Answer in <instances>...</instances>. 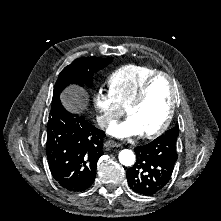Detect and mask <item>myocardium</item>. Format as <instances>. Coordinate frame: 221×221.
<instances>
[{
  "label": "myocardium",
  "mask_w": 221,
  "mask_h": 221,
  "mask_svg": "<svg viewBox=\"0 0 221 221\" xmlns=\"http://www.w3.org/2000/svg\"><path fill=\"white\" fill-rule=\"evenodd\" d=\"M166 78L169 82V86H170V91H171V100H170V105H169V110L166 114V117L164 119V121L162 122V124L156 128L153 131L147 132L142 134L143 137L148 138V139H153L158 137L159 135H161L169 126L174 112H175V108H176V103H177V95H176V91L174 88V82H173V78L170 74L162 72V71H158L154 74H152L151 76H149L143 83L142 85L138 88L137 92L135 93V95L133 96V98L126 104L125 106V114L129 115V110L131 108H135L138 107L139 105H141L147 95V92L150 88V86L152 85V83L157 80L158 78Z\"/></svg>",
  "instance_id": "f54148a6"
}]
</instances>
